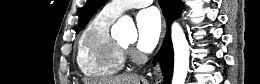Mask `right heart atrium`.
Returning a JSON list of instances; mask_svg holds the SVG:
<instances>
[{
	"label": "right heart atrium",
	"instance_id": "d8ad5b80",
	"mask_svg": "<svg viewBox=\"0 0 260 84\" xmlns=\"http://www.w3.org/2000/svg\"><path fill=\"white\" fill-rule=\"evenodd\" d=\"M130 55L133 59H137V55L134 52H130Z\"/></svg>",
	"mask_w": 260,
	"mask_h": 84
}]
</instances>
